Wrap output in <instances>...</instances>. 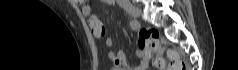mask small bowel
<instances>
[{
  "label": "small bowel",
  "instance_id": "1",
  "mask_svg": "<svg viewBox=\"0 0 238 70\" xmlns=\"http://www.w3.org/2000/svg\"><path fill=\"white\" fill-rule=\"evenodd\" d=\"M114 0H103L104 3L110 4ZM81 11L83 15L87 18L89 28L91 30L92 35L100 39L105 35V28L102 21L99 17L93 14L91 10V6L88 3H82ZM105 45L110 47L112 45V39L107 38L105 40ZM138 50L136 51V56L141 59L140 63L131 68L127 65V60L125 53L122 50L117 52L110 51L109 58L115 63V67L118 70H146L149 66V61L151 58V54L147 52L145 47L144 37L141 35L138 39Z\"/></svg>",
  "mask_w": 238,
  "mask_h": 70
}]
</instances>
